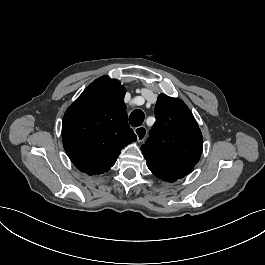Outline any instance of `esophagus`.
Segmentation results:
<instances>
[{"label":"esophagus","instance_id":"1","mask_svg":"<svg viewBox=\"0 0 265 265\" xmlns=\"http://www.w3.org/2000/svg\"><path fill=\"white\" fill-rule=\"evenodd\" d=\"M134 133L137 136L138 142H141V141H143L145 139V137L147 135V129H146L145 126H139V127H136L134 129Z\"/></svg>","mask_w":265,"mask_h":265}]
</instances>
